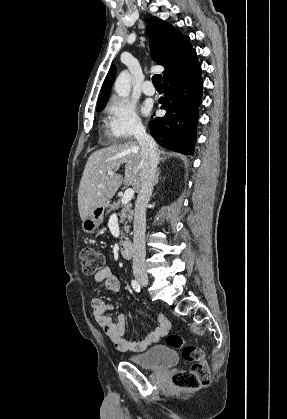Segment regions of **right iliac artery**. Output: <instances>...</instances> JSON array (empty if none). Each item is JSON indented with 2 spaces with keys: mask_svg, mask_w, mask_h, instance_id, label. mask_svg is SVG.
<instances>
[{
  "mask_svg": "<svg viewBox=\"0 0 287 419\" xmlns=\"http://www.w3.org/2000/svg\"><path fill=\"white\" fill-rule=\"evenodd\" d=\"M131 285L136 292H140L141 287H140V284L136 280H132Z\"/></svg>",
  "mask_w": 287,
  "mask_h": 419,
  "instance_id": "right-iliac-artery-1",
  "label": "right iliac artery"
}]
</instances>
